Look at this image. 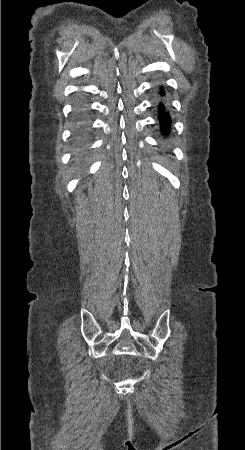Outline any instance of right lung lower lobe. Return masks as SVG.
<instances>
[{"instance_id": "1", "label": "right lung lower lobe", "mask_w": 245, "mask_h": 450, "mask_svg": "<svg viewBox=\"0 0 245 450\" xmlns=\"http://www.w3.org/2000/svg\"><path fill=\"white\" fill-rule=\"evenodd\" d=\"M84 143H85L84 141L81 143V146L79 147V150L76 153L77 160L79 161L80 164H82L85 161V157H86L85 154H83Z\"/></svg>"}]
</instances>
